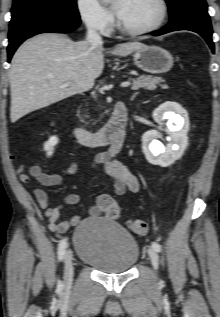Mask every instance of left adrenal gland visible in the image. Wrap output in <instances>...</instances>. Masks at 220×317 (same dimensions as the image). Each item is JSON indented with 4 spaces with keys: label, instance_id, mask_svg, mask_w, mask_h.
Listing matches in <instances>:
<instances>
[{
    "label": "left adrenal gland",
    "instance_id": "1",
    "mask_svg": "<svg viewBox=\"0 0 220 317\" xmlns=\"http://www.w3.org/2000/svg\"><path fill=\"white\" fill-rule=\"evenodd\" d=\"M137 93H134L131 97V100H133L136 97Z\"/></svg>",
    "mask_w": 220,
    "mask_h": 317
}]
</instances>
